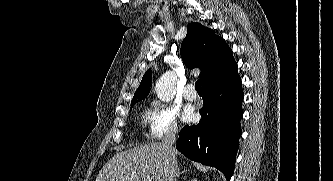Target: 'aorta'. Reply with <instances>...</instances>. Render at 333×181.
Masks as SVG:
<instances>
[{"instance_id": "obj_1", "label": "aorta", "mask_w": 333, "mask_h": 181, "mask_svg": "<svg viewBox=\"0 0 333 181\" xmlns=\"http://www.w3.org/2000/svg\"><path fill=\"white\" fill-rule=\"evenodd\" d=\"M176 75L172 71L165 72L157 81L155 91L157 97L163 102H170L175 95Z\"/></svg>"}]
</instances>
